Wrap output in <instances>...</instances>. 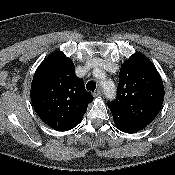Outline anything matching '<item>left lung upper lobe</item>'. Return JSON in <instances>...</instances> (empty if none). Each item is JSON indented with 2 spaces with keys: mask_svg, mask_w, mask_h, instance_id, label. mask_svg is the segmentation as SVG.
<instances>
[{
  "mask_svg": "<svg viewBox=\"0 0 175 175\" xmlns=\"http://www.w3.org/2000/svg\"><path fill=\"white\" fill-rule=\"evenodd\" d=\"M163 100L164 86L158 71L146 56L135 53L121 66L117 98L107 106L115 118L149 124Z\"/></svg>",
  "mask_w": 175,
  "mask_h": 175,
  "instance_id": "5c2ea615",
  "label": "left lung upper lobe"
}]
</instances>
